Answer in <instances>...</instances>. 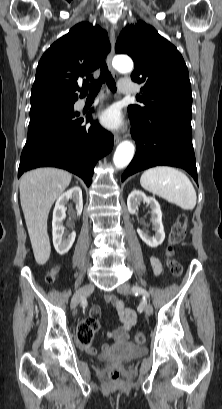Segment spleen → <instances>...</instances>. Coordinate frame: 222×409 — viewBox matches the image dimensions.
Instances as JSON below:
<instances>
[{"mask_svg":"<svg viewBox=\"0 0 222 409\" xmlns=\"http://www.w3.org/2000/svg\"><path fill=\"white\" fill-rule=\"evenodd\" d=\"M141 186L176 204L184 210H193L196 206V192L189 178L178 169L158 166L146 170L140 178Z\"/></svg>","mask_w":222,"mask_h":409,"instance_id":"3e777b00","label":"spleen"}]
</instances>
